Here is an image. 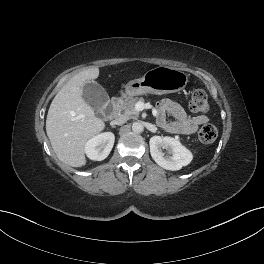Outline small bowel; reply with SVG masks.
Masks as SVG:
<instances>
[{"mask_svg":"<svg viewBox=\"0 0 264 264\" xmlns=\"http://www.w3.org/2000/svg\"><path fill=\"white\" fill-rule=\"evenodd\" d=\"M156 118L165 131L182 135H192L208 122L205 115L189 116L179 103L171 99H163L157 104Z\"/></svg>","mask_w":264,"mask_h":264,"instance_id":"1","label":"small bowel"}]
</instances>
